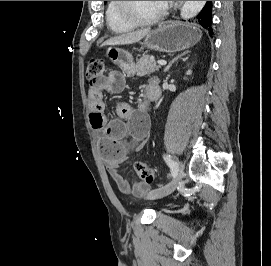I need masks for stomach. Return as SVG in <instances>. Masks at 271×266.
<instances>
[{"label": "stomach", "mask_w": 271, "mask_h": 266, "mask_svg": "<svg viewBox=\"0 0 271 266\" xmlns=\"http://www.w3.org/2000/svg\"><path fill=\"white\" fill-rule=\"evenodd\" d=\"M202 36L201 30L192 24L167 22L150 31L143 42L149 49L162 52H176L194 46ZM106 56L125 73L133 74V56L126 50L109 47Z\"/></svg>", "instance_id": "obj_1"}]
</instances>
